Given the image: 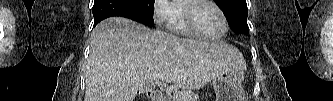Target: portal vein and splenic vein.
<instances>
[{"label":"portal vein and splenic vein","mask_w":333,"mask_h":101,"mask_svg":"<svg viewBox=\"0 0 333 101\" xmlns=\"http://www.w3.org/2000/svg\"><path fill=\"white\" fill-rule=\"evenodd\" d=\"M161 78H162L161 75H155V76H153V80H155L156 82H158Z\"/></svg>","instance_id":"portal-vein-and-splenic-vein-1"}]
</instances>
